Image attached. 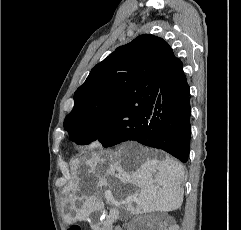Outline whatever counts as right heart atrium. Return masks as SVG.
I'll list each match as a JSON object with an SVG mask.
<instances>
[{
    "instance_id": "1",
    "label": "right heart atrium",
    "mask_w": 241,
    "mask_h": 230,
    "mask_svg": "<svg viewBox=\"0 0 241 230\" xmlns=\"http://www.w3.org/2000/svg\"><path fill=\"white\" fill-rule=\"evenodd\" d=\"M99 145H100V141L99 140H95L92 143H90V146H92V147H97Z\"/></svg>"
}]
</instances>
